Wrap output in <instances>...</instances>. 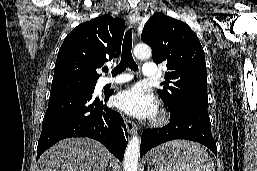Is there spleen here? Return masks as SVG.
<instances>
[{"mask_svg": "<svg viewBox=\"0 0 257 171\" xmlns=\"http://www.w3.org/2000/svg\"><path fill=\"white\" fill-rule=\"evenodd\" d=\"M175 150L179 159L173 171H215L207 151L199 144L187 140H173L164 145ZM181 150H184L181 153Z\"/></svg>", "mask_w": 257, "mask_h": 171, "instance_id": "obj_1", "label": "spleen"}]
</instances>
